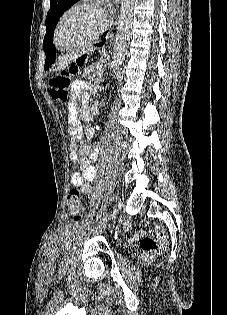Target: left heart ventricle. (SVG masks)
<instances>
[{
    "label": "left heart ventricle",
    "instance_id": "left-heart-ventricle-1",
    "mask_svg": "<svg viewBox=\"0 0 227 315\" xmlns=\"http://www.w3.org/2000/svg\"><path fill=\"white\" fill-rule=\"evenodd\" d=\"M102 14L93 8H80L72 11L64 19L58 35L62 46L74 44L92 35L102 24Z\"/></svg>",
    "mask_w": 227,
    "mask_h": 315
}]
</instances>
